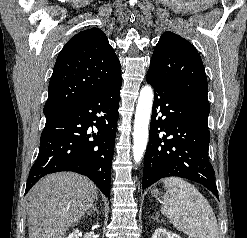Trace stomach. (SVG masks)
Instances as JSON below:
<instances>
[{"mask_svg": "<svg viewBox=\"0 0 247 238\" xmlns=\"http://www.w3.org/2000/svg\"><path fill=\"white\" fill-rule=\"evenodd\" d=\"M151 194L153 195V197H159L162 193L161 192H159V190H157V189H154V190H152L151 191Z\"/></svg>", "mask_w": 247, "mask_h": 238, "instance_id": "0dacf381", "label": "stomach"}]
</instances>
